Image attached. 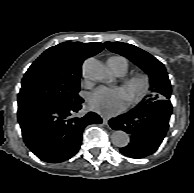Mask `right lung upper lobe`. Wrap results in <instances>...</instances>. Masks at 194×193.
<instances>
[{
	"label": "right lung upper lobe",
	"mask_w": 194,
	"mask_h": 193,
	"mask_svg": "<svg viewBox=\"0 0 194 193\" xmlns=\"http://www.w3.org/2000/svg\"><path fill=\"white\" fill-rule=\"evenodd\" d=\"M104 48L103 43L64 42L47 49L28 69L23 80L36 73L81 76V65L88 56Z\"/></svg>",
	"instance_id": "obj_1"
}]
</instances>
